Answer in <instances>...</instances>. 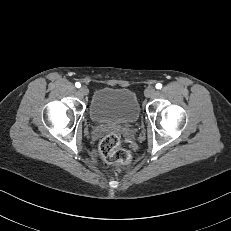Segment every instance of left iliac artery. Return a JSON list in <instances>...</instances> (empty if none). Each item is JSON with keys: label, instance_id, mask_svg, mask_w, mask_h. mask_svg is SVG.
Here are the masks:
<instances>
[{"label": "left iliac artery", "instance_id": "left-iliac-artery-1", "mask_svg": "<svg viewBox=\"0 0 231 231\" xmlns=\"http://www.w3.org/2000/svg\"><path fill=\"white\" fill-rule=\"evenodd\" d=\"M156 88H157V89H161V88H162V84H161V83H157V84H156Z\"/></svg>", "mask_w": 231, "mask_h": 231}]
</instances>
